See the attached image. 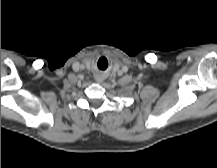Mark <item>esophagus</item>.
Masks as SVG:
<instances>
[{"instance_id": "esophagus-1", "label": "esophagus", "mask_w": 217, "mask_h": 168, "mask_svg": "<svg viewBox=\"0 0 217 168\" xmlns=\"http://www.w3.org/2000/svg\"><path fill=\"white\" fill-rule=\"evenodd\" d=\"M102 78H100V77H96V81L98 82V83H100V82H102Z\"/></svg>"}]
</instances>
